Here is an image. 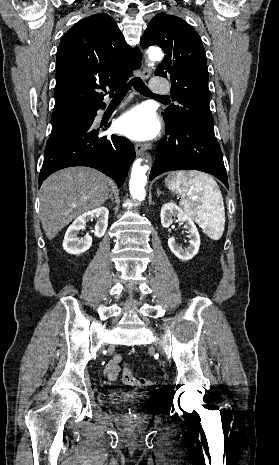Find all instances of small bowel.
I'll use <instances>...</instances> for the list:
<instances>
[{"mask_svg":"<svg viewBox=\"0 0 279 465\" xmlns=\"http://www.w3.org/2000/svg\"><path fill=\"white\" fill-rule=\"evenodd\" d=\"M122 356L116 354L105 366L104 375L109 380H115L120 374L119 363L121 362Z\"/></svg>","mask_w":279,"mask_h":465,"instance_id":"1","label":"small bowel"}]
</instances>
